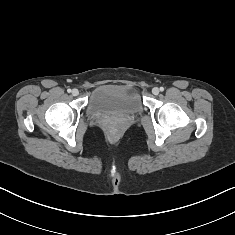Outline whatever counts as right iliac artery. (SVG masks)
<instances>
[{
	"label": "right iliac artery",
	"instance_id": "obj_1",
	"mask_svg": "<svg viewBox=\"0 0 235 235\" xmlns=\"http://www.w3.org/2000/svg\"><path fill=\"white\" fill-rule=\"evenodd\" d=\"M67 92L70 93V92H71V89H68Z\"/></svg>",
	"mask_w": 235,
	"mask_h": 235
}]
</instances>
